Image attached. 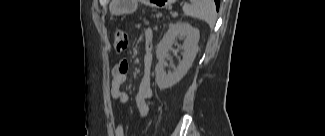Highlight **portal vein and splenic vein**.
<instances>
[{
  "instance_id": "obj_1",
  "label": "portal vein and splenic vein",
  "mask_w": 325,
  "mask_h": 136,
  "mask_svg": "<svg viewBox=\"0 0 325 136\" xmlns=\"http://www.w3.org/2000/svg\"><path fill=\"white\" fill-rule=\"evenodd\" d=\"M171 15L172 16H177L178 14H177V12H172Z\"/></svg>"
}]
</instances>
